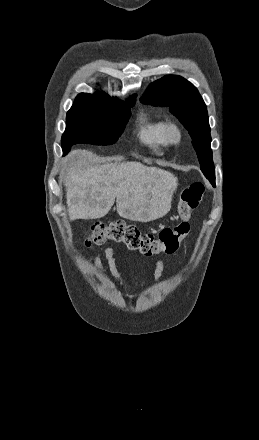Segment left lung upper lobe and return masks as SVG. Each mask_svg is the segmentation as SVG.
<instances>
[{"label": "left lung upper lobe", "mask_w": 259, "mask_h": 440, "mask_svg": "<svg viewBox=\"0 0 259 440\" xmlns=\"http://www.w3.org/2000/svg\"><path fill=\"white\" fill-rule=\"evenodd\" d=\"M140 101L144 104L170 107L171 112L189 131L200 168L214 184L215 171L207 107L196 87L181 76L166 75L150 85Z\"/></svg>", "instance_id": "obj_1"}]
</instances>
